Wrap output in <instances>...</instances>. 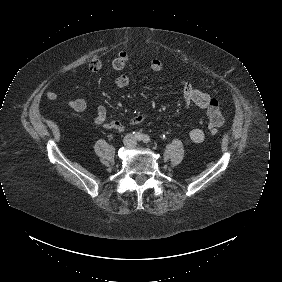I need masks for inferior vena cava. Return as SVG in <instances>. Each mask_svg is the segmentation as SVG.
Listing matches in <instances>:
<instances>
[{
	"mask_svg": "<svg viewBox=\"0 0 282 282\" xmlns=\"http://www.w3.org/2000/svg\"><path fill=\"white\" fill-rule=\"evenodd\" d=\"M133 137H134V136H133ZM126 138H127V136H126ZM133 142L136 143L135 138L133 139Z\"/></svg>",
	"mask_w": 282,
	"mask_h": 282,
	"instance_id": "602c4592",
	"label": "inferior vena cava"
}]
</instances>
